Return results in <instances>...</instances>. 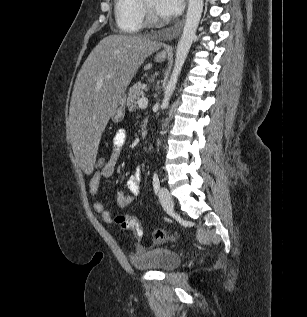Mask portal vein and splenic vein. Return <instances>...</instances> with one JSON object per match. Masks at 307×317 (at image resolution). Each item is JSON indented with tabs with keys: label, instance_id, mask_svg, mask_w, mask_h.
Instances as JSON below:
<instances>
[{
	"label": "portal vein and splenic vein",
	"instance_id": "obj_1",
	"mask_svg": "<svg viewBox=\"0 0 307 317\" xmlns=\"http://www.w3.org/2000/svg\"><path fill=\"white\" fill-rule=\"evenodd\" d=\"M138 106H139V108H146L148 106V99L145 97L139 99Z\"/></svg>",
	"mask_w": 307,
	"mask_h": 317
}]
</instances>
